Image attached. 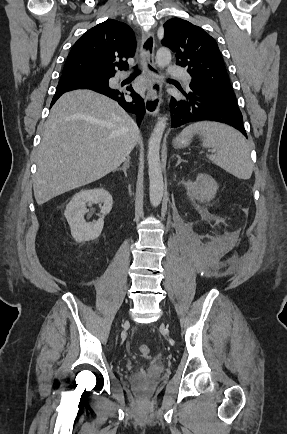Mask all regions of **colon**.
<instances>
[{
    "instance_id": "obj_1",
    "label": "colon",
    "mask_w": 287,
    "mask_h": 434,
    "mask_svg": "<svg viewBox=\"0 0 287 434\" xmlns=\"http://www.w3.org/2000/svg\"><path fill=\"white\" fill-rule=\"evenodd\" d=\"M138 350H139L140 354L144 357L148 356L150 353V348L146 344H140L138 346Z\"/></svg>"
}]
</instances>
